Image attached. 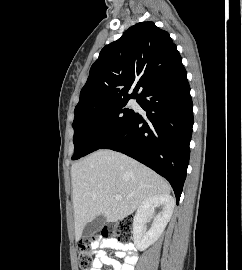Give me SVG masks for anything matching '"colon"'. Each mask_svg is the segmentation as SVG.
Here are the masks:
<instances>
[{
  "label": "colon",
  "instance_id": "obj_1",
  "mask_svg": "<svg viewBox=\"0 0 242 270\" xmlns=\"http://www.w3.org/2000/svg\"><path fill=\"white\" fill-rule=\"evenodd\" d=\"M133 223L129 219L114 222L93 234L78 245V265L80 270H91L93 265V244L102 239L128 240L132 234Z\"/></svg>",
  "mask_w": 242,
  "mask_h": 270
}]
</instances>
